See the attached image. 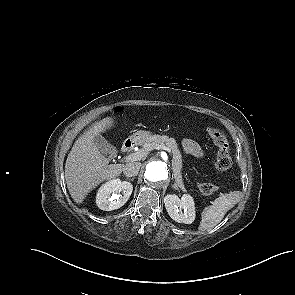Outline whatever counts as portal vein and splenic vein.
Returning a JSON list of instances; mask_svg holds the SVG:
<instances>
[{
	"instance_id": "obj_1",
	"label": "portal vein and splenic vein",
	"mask_w": 295,
	"mask_h": 295,
	"mask_svg": "<svg viewBox=\"0 0 295 295\" xmlns=\"http://www.w3.org/2000/svg\"><path fill=\"white\" fill-rule=\"evenodd\" d=\"M155 149H158V150H159V149H163V150H165V151L170 152L169 148L166 147L165 145H157V146L155 147ZM143 156H144L143 153H141V152H135V153H132V154L128 155V156L126 157V161H127V162H130V161L141 160Z\"/></svg>"
}]
</instances>
